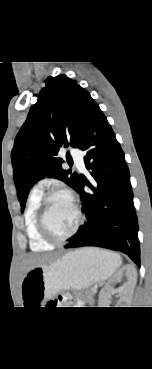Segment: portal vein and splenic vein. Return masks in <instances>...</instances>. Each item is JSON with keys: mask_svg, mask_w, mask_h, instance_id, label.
I'll list each match as a JSON object with an SVG mask.
<instances>
[{"mask_svg": "<svg viewBox=\"0 0 152 369\" xmlns=\"http://www.w3.org/2000/svg\"><path fill=\"white\" fill-rule=\"evenodd\" d=\"M95 291L97 290V286L94 287Z\"/></svg>", "mask_w": 152, "mask_h": 369, "instance_id": "obj_1", "label": "portal vein and splenic vein"}]
</instances>
